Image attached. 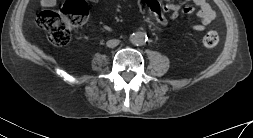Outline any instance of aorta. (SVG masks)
<instances>
[{
    "instance_id": "1",
    "label": "aorta",
    "mask_w": 253,
    "mask_h": 138,
    "mask_svg": "<svg viewBox=\"0 0 253 138\" xmlns=\"http://www.w3.org/2000/svg\"><path fill=\"white\" fill-rule=\"evenodd\" d=\"M130 41L134 45H144L147 42V35L144 32H136L130 35Z\"/></svg>"
}]
</instances>
